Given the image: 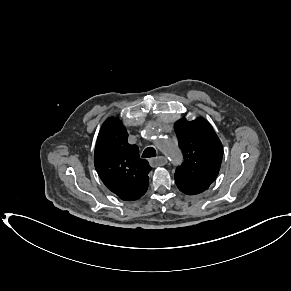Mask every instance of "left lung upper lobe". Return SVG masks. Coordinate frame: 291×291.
Wrapping results in <instances>:
<instances>
[{"label":"left lung upper lobe","instance_id":"left-lung-upper-lobe-1","mask_svg":"<svg viewBox=\"0 0 291 291\" xmlns=\"http://www.w3.org/2000/svg\"><path fill=\"white\" fill-rule=\"evenodd\" d=\"M174 129L184 161L176 168L175 183L187 194H199L216 179L223 157V146L207 120H178Z\"/></svg>","mask_w":291,"mask_h":291}]
</instances>
